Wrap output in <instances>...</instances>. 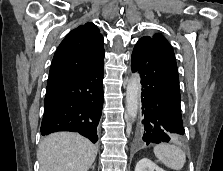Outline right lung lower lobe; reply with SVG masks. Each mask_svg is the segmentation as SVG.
I'll use <instances>...</instances> for the list:
<instances>
[{
    "mask_svg": "<svg viewBox=\"0 0 223 171\" xmlns=\"http://www.w3.org/2000/svg\"><path fill=\"white\" fill-rule=\"evenodd\" d=\"M103 64L80 77L47 86L42 135L74 131L97 142L104 100Z\"/></svg>",
    "mask_w": 223,
    "mask_h": 171,
    "instance_id": "98d812e1",
    "label": "right lung lower lobe"
}]
</instances>
